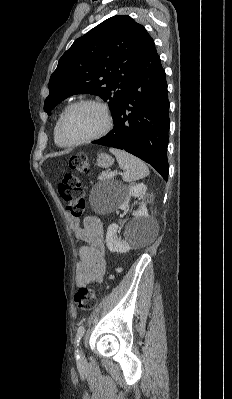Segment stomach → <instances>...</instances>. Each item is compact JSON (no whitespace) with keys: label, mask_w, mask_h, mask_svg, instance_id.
Listing matches in <instances>:
<instances>
[{"label":"stomach","mask_w":232,"mask_h":399,"mask_svg":"<svg viewBox=\"0 0 232 399\" xmlns=\"http://www.w3.org/2000/svg\"><path fill=\"white\" fill-rule=\"evenodd\" d=\"M113 162V158L108 156V154H98L97 156V166H100V168H109V166H112Z\"/></svg>","instance_id":"0dacf381"}]
</instances>
